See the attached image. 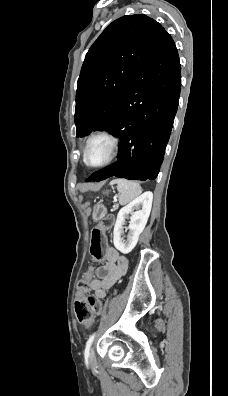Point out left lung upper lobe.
<instances>
[{"mask_svg": "<svg viewBox=\"0 0 228 396\" xmlns=\"http://www.w3.org/2000/svg\"><path fill=\"white\" fill-rule=\"evenodd\" d=\"M161 30L158 22L144 14L123 16L93 43L77 83L74 119L78 137L107 130Z\"/></svg>", "mask_w": 228, "mask_h": 396, "instance_id": "1", "label": "left lung upper lobe"}]
</instances>
